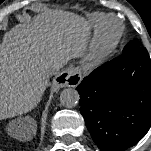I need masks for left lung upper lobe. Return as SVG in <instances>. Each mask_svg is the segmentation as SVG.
<instances>
[{"mask_svg": "<svg viewBox=\"0 0 151 151\" xmlns=\"http://www.w3.org/2000/svg\"><path fill=\"white\" fill-rule=\"evenodd\" d=\"M142 46L140 45L139 41L137 39H134L130 41L123 49V53L129 52L131 50L141 48Z\"/></svg>", "mask_w": 151, "mask_h": 151, "instance_id": "left-lung-upper-lobe-1", "label": "left lung upper lobe"}]
</instances>
